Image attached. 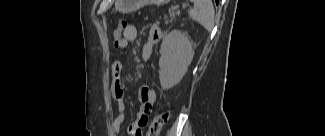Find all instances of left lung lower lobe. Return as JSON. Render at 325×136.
Returning <instances> with one entry per match:
<instances>
[{
  "instance_id": "left-lung-lower-lobe-1",
  "label": "left lung lower lobe",
  "mask_w": 325,
  "mask_h": 136,
  "mask_svg": "<svg viewBox=\"0 0 325 136\" xmlns=\"http://www.w3.org/2000/svg\"><path fill=\"white\" fill-rule=\"evenodd\" d=\"M216 4H218L219 0H215Z\"/></svg>"
}]
</instances>
